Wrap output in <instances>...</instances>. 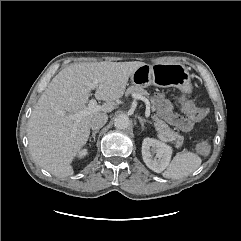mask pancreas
<instances>
[{
	"instance_id": "1",
	"label": "pancreas",
	"mask_w": 241,
	"mask_h": 241,
	"mask_svg": "<svg viewBox=\"0 0 241 241\" xmlns=\"http://www.w3.org/2000/svg\"><path fill=\"white\" fill-rule=\"evenodd\" d=\"M126 94L127 95L140 94L142 96L148 97L151 102V109L152 111H155L156 109L155 98L149 96L150 94L142 87L136 86V85L130 86L126 91ZM152 120L154 123V127L160 136L164 137L169 141H176V145L181 146L182 144L181 140H183L182 136H180L178 133L170 129V127L163 120H161L158 117V115H153Z\"/></svg>"
}]
</instances>
